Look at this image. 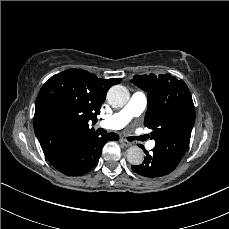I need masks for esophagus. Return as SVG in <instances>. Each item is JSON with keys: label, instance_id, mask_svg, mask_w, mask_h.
<instances>
[{"label": "esophagus", "instance_id": "obj_1", "mask_svg": "<svg viewBox=\"0 0 229 229\" xmlns=\"http://www.w3.org/2000/svg\"><path fill=\"white\" fill-rule=\"evenodd\" d=\"M120 143L125 147H130L131 143L124 138H120Z\"/></svg>", "mask_w": 229, "mask_h": 229}]
</instances>
